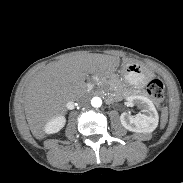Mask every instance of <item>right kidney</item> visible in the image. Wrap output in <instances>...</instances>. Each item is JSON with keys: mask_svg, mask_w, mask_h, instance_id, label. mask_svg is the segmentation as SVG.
<instances>
[{"mask_svg": "<svg viewBox=\"0 0 183 183\" xmlns=\"http://www.w3.org/2000/svg\"><path fill=\"white\" fill-rule=\"evenodd\" d=\"M65 117L63 115L54 116L45 125V132L52 134L60 131L65 125Z\"/></svg>", "mask_w": 183, "mask_h": 183, "instance_id": "1", "label": "right kidney"}]
</instances>
